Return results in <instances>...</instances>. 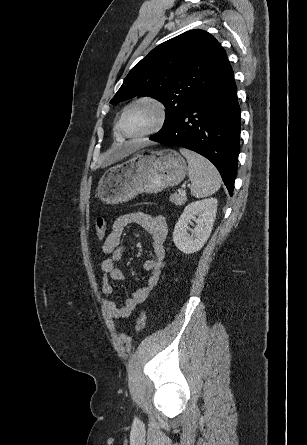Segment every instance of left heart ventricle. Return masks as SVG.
Here are the masks:
<instances>
[{
    "label": "left heart ventricle",
    "instance_id": "b2bd125f",
    "mask_svg": "<svg viewBox=\"0 0 307 445\" xmlns=\"http://www.w3.org/2000/svg\"><path fill=\"white\" fill-rule=\"evenodd\" d=\"M159 119L155 106L140 103L129 108L126 116V127L130 133H140L153 128Z\"/></svg>",
    "mask_w": 307,
    "mask_h": 445
}]
</instances>
